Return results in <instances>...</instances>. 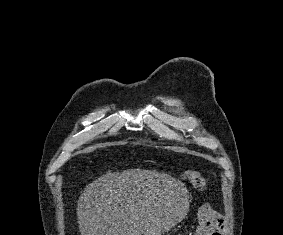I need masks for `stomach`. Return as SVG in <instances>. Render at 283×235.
<instances>
[{
	"mask_svg": "<svg viewBox=\"0 0 283 235\" xmlns=\"http://www.w3.org/2000/svg\"><path fill=\"white\" fill-rule=\"evenodd\" d=\"M185 199V198H184ZM185 204H183V206H185L186 205V202H184Z\"/></svg>",
	"mask_w": 283,
	"mask_h": 235,
	"instance_id": "1",
	"label": "stomach"
}]
</instances>
